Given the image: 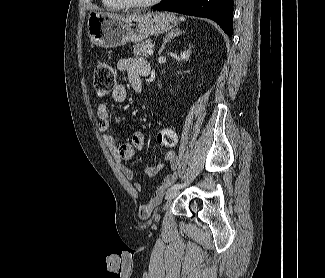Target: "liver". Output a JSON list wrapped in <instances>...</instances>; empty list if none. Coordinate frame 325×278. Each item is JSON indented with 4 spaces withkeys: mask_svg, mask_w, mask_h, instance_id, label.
<instances>
[{
    "mask_svg": "<svg viewBox=\"0 0 325 278\" xmlns=\"http://www.w3.org/2000/svg\"><path fill=\"white\" fill-rule=\"evenodd\" d=\"M104 14H107V15H110V16H118V15H115V14H112V13H104Z\"/></svg>",
    "mask_w": 325,
    "mask_h": 278,
    "instance_id": "obj_1",
    "label": "liver"
}]
</instances>
